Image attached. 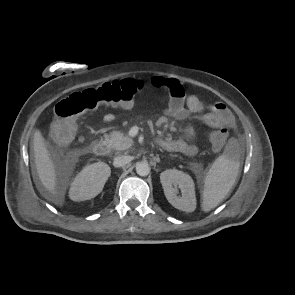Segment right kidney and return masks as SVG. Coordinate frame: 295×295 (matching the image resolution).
<instances>
[{"label":"right kidney","mask_w":295,"mask_h":295,"mask_svg":"<svg viewBox=\"0 0 295 295\" xmlns=\"http://www.w3.org/2000/svg\"><path fill=\"white\" fill-rule=\"evenodd\" d=\"M110 174V167L104 162L85 166L71 184V200L84 201L94 198L102 191Z\"/></svg>","instance_id":"1"}]
</instances>
